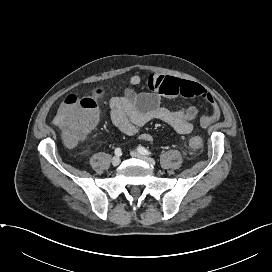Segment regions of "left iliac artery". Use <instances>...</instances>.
Instances as JSON below:
<instances>
[{
  "label": "left iliac artery",
  "instance_id": "44dca946",
  "mask_svg": "<svg viewBox=\"0 0 272 272\" xmlns=\"http://www.w3.org/2000/svg\"><path fill=\"white\" fill-rule=\"evenodd\" d=\"M137 150L139 153H141L143 155H150L151 154V152L143 146H138Z\"/></svg>",
  "mask_w": 272,
  "mask_h": 272
}]
</instances>
